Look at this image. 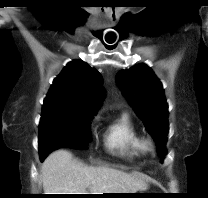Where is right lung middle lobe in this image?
Returning <instances> with one entry per match:
<instances>
[{
  "mask_svg": "<svg viewBox=\"0 0 208 198\" xmlns=\"http://www.w3.org/2000/svg\"><path fill=\"white\" fill-rule=\"evenodd\" d=\"M93 115L53 110L42 112L39 124V153L43 161L49 153L62 147L87 149Z\"/></svg>",
  "mask_w": 208,
  "mask_h": 198,
  "instance_id": "dd1d6c3e",
  "label": "right lung middle lobe"
}]
</instances>
